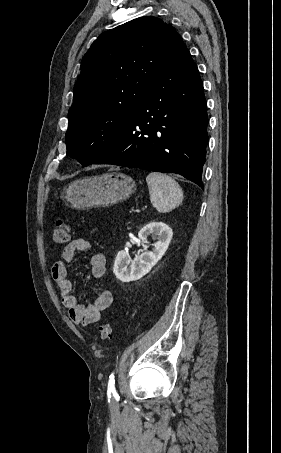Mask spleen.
<instances>
[{"label":"spleen","instance_id":"obj_1","mask_svg":"<svg viewBox=\"0 0 281 453\" xmlns=\"http://www.w3.org/2000/svg\"><path fill=\"white\" fill-rule=\"evenodd\" d=\"M150 200L158 212H170L181 204L183 194L180 186L172 176L163 172H150L146 176ZM182 194V196H181Z\"/></svg>","mask_w":281,"mask_h":453}]
</instances>
